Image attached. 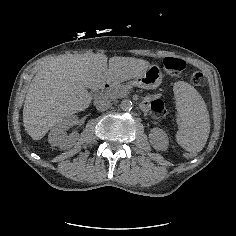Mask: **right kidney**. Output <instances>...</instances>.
<instances>
[{"mask_svg":"<svg viewBox=\"0 0 236 236\" xmlns=\"http://www.w3.org/2000/svg\"><path fill=\"white\" fill-rule=\"evenodd\" d=\"M77 122H78L77 118L71 117L69 119H66L61 127L53 129L49 133V138H48L50 145L57 146L61 150L70 149L76 145H80L78 132H73L70 136L65 135L66 128L75 125Z\"/></svg>","mask_w":236,"mask_h":236,"instance_id":"obj_1","label":"right kidney"}]
</instances>
